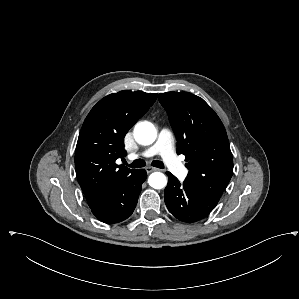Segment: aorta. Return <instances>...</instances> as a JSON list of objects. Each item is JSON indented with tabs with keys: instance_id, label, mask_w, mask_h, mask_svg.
<instances>
[{
	"instance_id": "obj_1",
	"label": "aorta",
	"mask_w": 299,
	"mask_h": 299,
	"mask_svg": "<svg viewBox=\"0 0 299 299\" xmlns=\"http://www.w3.org/2000/svg\"><path fill=\"white\" fill-rule=\"evenodd\" d=\"M157 137L156 128L148 121L139 122L134 128V138L142 145L152 144ZM149 185L154 189H162L167 184L166 176L161 172H154L148 178Z\"/></svg>"
}]
</instances>
